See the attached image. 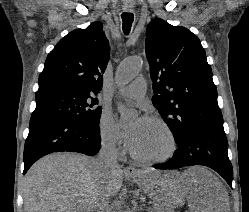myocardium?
I'll return each mask as SVG.
<instances>
[{
	"mask_svg": "<svg viewBox=\"0 0 249 212\" xmlns=\"http://www.w3.org/2000/svg\"><path fill=\"white\" fill-rule=\"evenodd\" d=\"M143 120L157 123L166 131V133L168 134L171 140V149L167 155L162 156V157L144 158V157L137 155L133 151L130 152L131 157L139 163L148 164V165L160 164V163H164V162L171 160L176 155L178 151V147H179L178 139L173 129L170 127V125L165 120L157 116H146L143 118Z\"/></svg>",
	"mask_w": 249,
	"mask_h": 212,
	"instance_id": "myocardium-1",
	"label": "myocardium"
}]
</instances>
